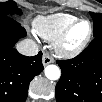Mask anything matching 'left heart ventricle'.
<instances>
[{
  "label": "left heart ventricle",
  "instance_id": "1",
  "mask_svg": "<svg viewBox=\"0 0 102 102\" xmlns=\"http://www.w3.org/2000/svg\"><path fill=\"white\" fill-rule=\"evenodd\" d=\"M87 28V25L85 23H80L79 25H77L75 27V29L73 30L71 36H70V39L68 40L67 44H66V47L67 48H73L74 46L77 45V42H78V35L86 30Z\"/></svg>",
  "mask_w": 102,
  "mask_h": 102
}]
</instances>
